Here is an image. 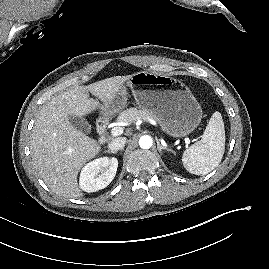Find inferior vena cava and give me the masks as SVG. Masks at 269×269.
<instances>
[{
    "instance_id": "1",
    "label": "inferior vena cava",
    "mask_w": 269,
    "mask_h": 269,
    "mask_svg": "<svg viewBox=\"0 0 269 269\" xmlns=\"http://www.w3.org/2000/svg\"><path fill=\"white\" fill-rule=\"evenodd\" d=\"M126 144V138L125 137H119L115 138L112 140L109 144L108 147L111 151H118L122 150Z\"/></svg>"
}]
</instances>
